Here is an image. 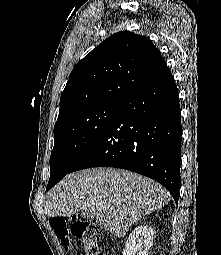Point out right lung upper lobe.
<instances>
[{
	"instance_id": "right-lung-upper-lobe-1",
	"label": "right lung upper lobe",
	"mask_w": 221,
	"mask_h": 255,
	"mask_svg": "<svg viewBox=\"0 0 221 255\" xmlns=\"http://www.w3.org/2000/svg\"><path fill=\"white\" fill-rule=\"evenodd\" d=\"M166 68L159 50L147 37L129 31L115 33L72 70L56 123L84 108L121 103Z\"/></svg>"
}]
</instances>
